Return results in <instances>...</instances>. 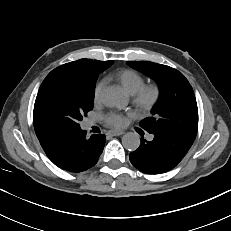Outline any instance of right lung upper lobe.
<instances>
[{
  "instance_id": "1",
  "label": "right lung upper lobe",
  "mask_w": 231,
  "mask_h": 231,
  "mask_svg": "<svg viewBox=\"0 0 231 231\" xmlns=\"http://www.w3.org/2000/svg\"><path fill=\"white\" fill-rule=\"evenodd\" d=\"M110 62L111 61L80 59L61 65L48 74L41 87L51 81L68 82L82 87H87L99 73L109 67ZM33 120L38 139L55 132L46 124L41 123L34 118Z\"/></svg>"
}]
</instances>
